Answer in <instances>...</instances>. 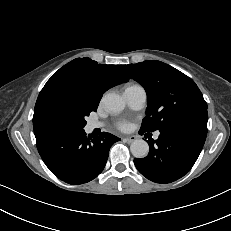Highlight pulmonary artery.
Wrapping results in <instances>:
<instances>
[{"label":"pulmonary artery","mask_w":231,"mask_h":231,"mask_svg":"<svg viewBox=\"0 0 231 231\" xmlns=\"http://www.w3.org/2000/svg\"><path fill=\"white\" fill-rule=\"evenodd\" d=\"M125 99L130 108L134 110H139L144 107L146 102V92L142 86L134 85L125 89L124 91ZM102 124L96 121H89L87 124V129L92 131L96 128L101 127ZM159 136V132L155 134V137Z\"/></svg>","instance_id":"e3ab8cb5"}]
</instances>
